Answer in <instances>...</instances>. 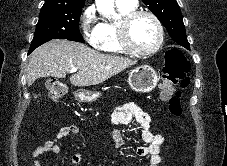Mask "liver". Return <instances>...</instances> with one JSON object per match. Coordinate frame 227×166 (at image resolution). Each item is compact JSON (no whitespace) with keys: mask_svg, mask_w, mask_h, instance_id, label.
Instances as JSON below:
<instances>
[{"mask_svg":"<svg viewBox=\"0 0 227 166\" xmlns=\"http://www.w3.org/2000/svg\"><path fill=\"white\" fill-rule=\"evenodd\" d=\"M136 64L135 60L99 53L90 47L69 40H51L32 53L27 83L40 77L65 78L73 67L77 72L70 82L77 87L98 85Z\"/></svg>","mask_w":227,"mask_h":166,"instance_id":"6515ba94","label":"liver"}]
</instances>
